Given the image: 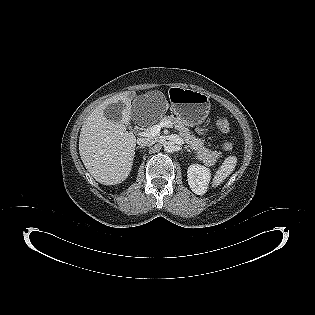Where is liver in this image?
Returning <instances> with one entry per match:
<instances>
[{
    "instance_id": "liver-1",
    "label": "liver",
    "mask_w": 315,
    "mask_h": 315,
    "mask_svg": "<svg viewBox=\"0 0 315 315\" xmlns=\"http://www.w3.org/2000/svg\"><path fill=\"white\" fill-rule=\"evenodd\" d=\"M118 102L124 105L121 121L108 120L104 116V109ZM131 109L130 99L122 93L103 101L82 125L80 157L87 171L101 184L122 183L131 172L136 147V137L126 130Z\"/></svg>"
}]
</instances>
